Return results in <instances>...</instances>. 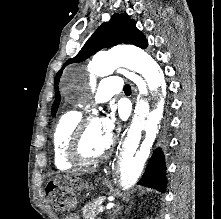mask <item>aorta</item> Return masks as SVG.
Here are the masks:
<instances>
[{"mask_svg": "<svg viewBox=\"0 0 221 219\" xmlns=\"http://www.w3.org/2000/svg\"><path fill=\"white\" fill-rule=\"evenodd\" d=\"M119 67L138 73L144 78L149 89V93L146 92L140 101L114 167L117 185L128 190L140 177L156 138L158 126L163 120L165 79L157 62L145 51L134 46H123L97 54L89 64L91 73L101 77L111 74ZM74 75L75 70L68 69L63 76L64 84L67 85ZM142 133H145V139L138 149Z\"/></svg>", "mask_w": 221, "mask_h": 219, "instance_id": "1", "label": "aorta"}]
</instances>
